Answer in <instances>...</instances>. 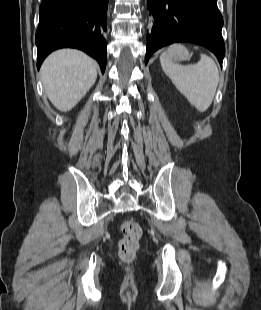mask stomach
<instances>
[{"mask_svg": "<svg viewBox=\"0 0 261 310\" xmlns=\"http://www.w3.org/2000/svg\"><path fill=\"white\" fill-rule=\"evenodd\" d=\"M169 60L173 63L185 61L190 58L188 50L182 45H174L167 51Z\"/></svg>", "mask_w": 261, "mask_h": 310, "instance_id": "obj_1", "label": "stomach"}]
</instances>
